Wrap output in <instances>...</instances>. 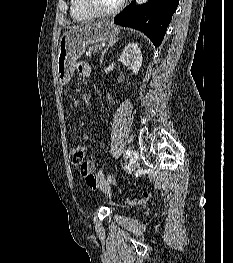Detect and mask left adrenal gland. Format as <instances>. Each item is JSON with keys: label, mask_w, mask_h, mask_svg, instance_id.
Instances as JSON below:
<instances>
[{"label": "left adrenal gland", "mask_w": 233, "mask_h": 263, "mask_svg": "<svg viewBox=\"0 0 233 263\" xmlns=\"http://www.w3.org/2000/svg\"><path fill=\"white\" fill-rule=\"evenodd\" d=\"M117 41H118V38L110 41L109 44L107 45V47L102 51L101 57H100V63H101V64L103 63V58H104V54L106 53V51H107L110 47H112L113 45H115V43H116Z\"/></svg>", "instance_id": "left-adrenal-gland-1"}]
</instances>
